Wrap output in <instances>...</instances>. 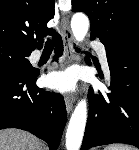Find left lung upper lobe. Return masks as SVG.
I'll return each instance as SVG.
<instances>
[{"label": "left lung upper lobe", "instance_id": "obj_1", "mask_svg": "<svg viewBox=\"0 0 139 150\" xmlns=\"http://www.w3.org/2000/svg\"><path fill=\"white\" fill-rule=\"evenodd\" d=\"M72 9L88 15L91 37L99 38L108 53L139 37V0H72Z\"/></svg>", "mask_w": 139, "mask_h": 150}]
</instances>
